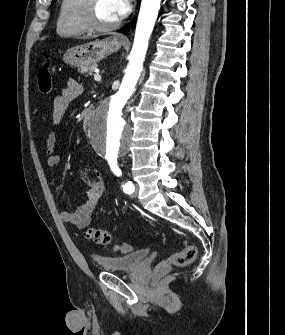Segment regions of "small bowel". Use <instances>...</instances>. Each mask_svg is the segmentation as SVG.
Returning a JSON list of instances; mask_svg holds the SVG:
<instances>
[{"mask_svg": "<svg viewBox=\"0 0 285 335\" xmlns=\"http://www.w3.org/2000/svg\"><path fill=\"white\" fill-rule=\"evenodd\" d=\"M82 92V86L75 80H69L67 86L62 90L53 102L52 124L57 125L63 118L68 104L76 99ZM45 152L48 156V166L52 169L61 164V157L56 153V132L51 130L45 139ZM83 176L90 183V189L86 200L74 211L62 210L61 218L82 229L91 222L92 215L99 203L106 197V185L101 176L92 170L83 171Z\"/></svg>", "mask_w": 285, "mask_h": 335, "instance_id": "small-bowel-1", "label": "small bowel"}]
</instances>
